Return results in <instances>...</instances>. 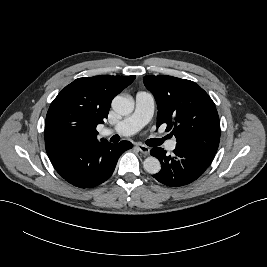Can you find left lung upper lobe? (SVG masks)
<instances>
[{"mask_svg": "<svg viewBox=\"0 0 267 267\" xmlns=\"http://www.w3.org/2000/svg\"><path fill=\"white\" fill-rule=\"evenodd\" d=\"M144 85L154 95L157 127L177 139V146L200 147L216 152L220 141V122L214 102L195 82L172 76H144Z\"/></svg>", "mask_w": 267, "mask_h": 267, "instance_id": "left-lung-upper-lobe-1", "label": "left lung upper lobe"}]
</instances>
